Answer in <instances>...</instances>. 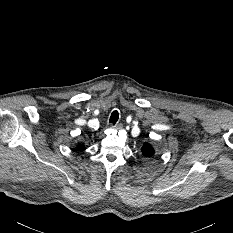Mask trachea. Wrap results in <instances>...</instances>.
I'll list each match as a JSON object with an SVG mask.
<instances>
[{
    "label": "trachea",
    "mask_w": 233,
    "mask_h": 233,
    "mask_svg": "<svg viewBox=\"0 0 233 233\" xmlns=\"http://www.w3.org/2000/svg\"><path fill=\"white\" fill-rule=\"evenodd\" d=\"M118 119H119V113L117 110H114L110 116L109 122L115 125Z\"/></svg>",
    "instance_id": "obj_1"
}]
</instances>
